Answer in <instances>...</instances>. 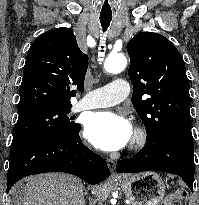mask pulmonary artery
<instances>
[{"label": "pulmonary artery", "mask_w": 199, "mask_h": 205, "mask_svg": "<svg viewBox=\"0 0 199 205\" xmlns=\"http://www.w3.org/2000/svg\"><path fill=\"white\" fill-rule=\"evenodd\" d=\"M130 84L123 78H117L106 86L86 93L75 105V110H87L116 105L130 92Z\"/></svg>", "instance_id": "e3ab8cb5"}]
</instances>
